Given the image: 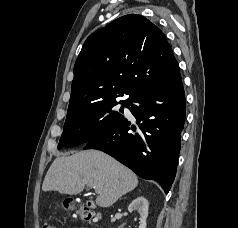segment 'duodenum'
I'll return each instance as SVG.
<instances>
[{
  "label": "duodenum",
  "instance_id": "410a0bca",
  "mask_svg": "<svg viewBox=\"0 0 238 228\" xmlns=\"http://www.w3.org/2000/svg\"><path fill=\"white\" fill-rule=\"evenodd\" d=\"M98 217H101V215H100V214H98Z\"/></svg>",
  "mask_w": 238,
  "mask_h": 228
}]
</instances>
